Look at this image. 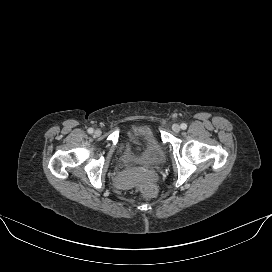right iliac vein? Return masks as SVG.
<instances>
[{
	"instance_id": "right-iliac-vein-1",
	"label": "right iliac vein",
	"mask_w": 272,
	"mask_h": 272,
	"mask_svg": "<svg viewBox=\"0 0 272 272\" xmlns=\"http://www.w3.org/2000/svg\"><path fill=\"white\" fill-rule=\"evenodd\" d=\"M101 133H102L101 130L97 129V130H95L94 135L98 137L101 135Z\"/></svg>"
}]
</instances>
